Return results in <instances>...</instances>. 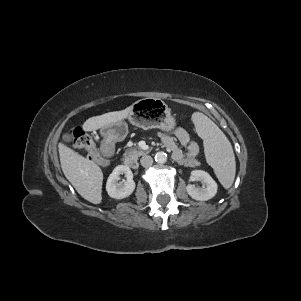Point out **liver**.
<instances>
[{
    "label": "liver",
    "instance_id": "6515ba94",
    "mask_svg": "<svg viewBox=\"0 0 301 301\" xmlns=\"http://www.w3.org/2000/svg\"><path fill=\"white\" fill-rule=\"evenodd\" d=\"M131 112V107L94 116L85 121L83 129L94 131L122 122ZM62 171L76 191L87 201L99 204L102 200L103 173L93 161L84 158L62 143L58 145Z\"/></svg>",
    "mask_w": 301,
    "mask_h": 301
}]
</instances>
